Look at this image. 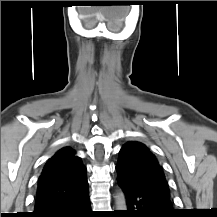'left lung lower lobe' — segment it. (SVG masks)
Returning <instances> with one entry per match:
<instances>
[{
	"label": "left lung lower lobe",
	"instance_id": "left-lung-lower-lobe-1",
	"mask_svg": "<svg viewBox=\"0 0 217 217\" xmlns=\"http://www.w3.org/2000/svg\"><path fill=\"white\" fill-rule=\"evenodd\" d=\"M119 186L122 188L128 206L131 210L123 213L125 217H175L173 202L170 196L163 193L143 190L133 187L119 177Z\"/></svg>",
	"mask_w": 217,
	"mask_h": 217
}]
</instances>
